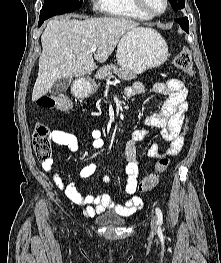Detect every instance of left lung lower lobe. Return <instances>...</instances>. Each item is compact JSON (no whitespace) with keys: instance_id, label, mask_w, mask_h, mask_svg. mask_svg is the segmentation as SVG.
Instances as JSON below:
<instances>
[{"instance_id":"left-lung-lower-lobe-1","label":"left lung lower lobe","mask_w":221,"mask_h":263,"mask_svg":"<svg viewBox=\"0 0 221 263\" xmlns=\"http://www.w3.org/2000/svg\"><path fill=\"white\" fill-rule=\"evenodd\" d=\"M175 21L181 26V28L183 30H185L188 33V31H189V22H188V18L187 17L178 18V19H175Z\"/></svg>"}]
</instances>
